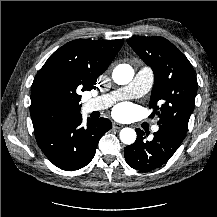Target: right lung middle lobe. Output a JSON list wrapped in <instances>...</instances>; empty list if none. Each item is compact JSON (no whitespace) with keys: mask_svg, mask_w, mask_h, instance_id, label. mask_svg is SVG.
I'll return each instance as SVG.
<instances>
[{"mask_svg":"<svg viewBox=\"0 0 217 217\" xmlns=\"http://www.w3.org/2000/svg\"><path fill=\"white\" fill-rule=\"evenodd\" d=\"M81 96L57 76H47L31 88L33 126L45 125L80 114Z\"/></svg>","mask_w":217,"mask_h":217,"instance_id":"dd1d6c3e","label":"right lung middle lobe"}]
</instances>
